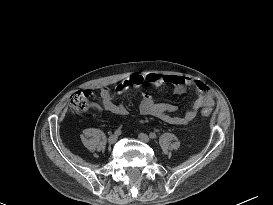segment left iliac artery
Returning a JSON list of instances; mask_svg holds the SVG:
<instances>
[{"instance_id": "left-iliac-artery-1", "label": "left iliac artery", "mask_w": 273, "mask_h": 205, "mask_svg": "<svg viewBox=\"0 0 273 205\" xmlns=\"http://www.w3.org/2000/svg\"><path fill=\"white\" fill-rule=\"evenodd\" d=\"M149 136H150L151 139H156L157 138V135L154 132H151L149 134Z\"/></svg>"}]
</instances>
